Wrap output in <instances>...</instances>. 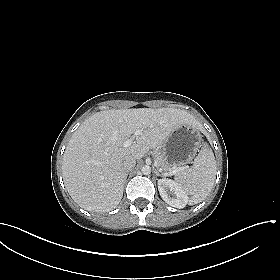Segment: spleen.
Returning <instances> with one entry per match:
<instances>
[{
	"mask_svg": "<svg viewBox=\"0 0 280 280\" xmlns=\"http://www.w3.org/2000/svg\"><path fill=\"white\" fill-rule=\"evenodd\" d=\"M216 161L208 143H203L192 167L175 177L176 183L190 195L189 204L203 201L212 190L216 178Z\"/></svg>",
	"mask_w": 280,
	"mask_h": 280,
	"instance_id": "spleen-1",
	"label": "spleen"
}]
</instances>
